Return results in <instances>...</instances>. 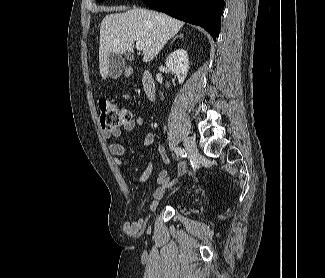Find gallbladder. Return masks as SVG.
Returning <instances> with one entry per match:
<instances>
[{
    "instance_id": "bac80fb5",
    "label": "gallbladder",
    "mask_w": 325,
    "mask_h": 278,
    "mask_svg": "<svg viewBox=\"0 0 325 278\" xmlns=\"http://www.w3.org/2000/svg\"><path fill=\"white\" fill-rule=\"evenodd\" d=\"M109 77L118 78L125 69V63L120 54L111 53L108 57Z\"/></svg>"
}]
</instances>
